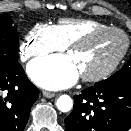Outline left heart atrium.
<instances>
[{"mask_svg":"<svg viewBox=\"0 0 131 131\" xmlns=\"http://www.w3.org/2000/svg\"><path fill=\"white\" fill-rule=\"evenodd\" d=\"M28 74L38 85L56 90L73 85L80 73L71 55L60 54L32 61Z\"/></svg>","mask_w":131,"mask_h":131,"instance_id":"39dd6f15","label":"left heart atrium"}]
</instances>
